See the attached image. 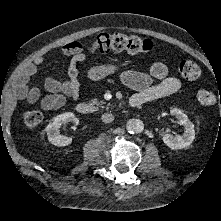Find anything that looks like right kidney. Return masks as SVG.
<instances>
[{
  "instance_id": "right-kidney-1",
  "label": "right kidney",
  "mask_w": 221,
  "mask_h": 221,
  "mask_svg": "<svg viewBox=\"0 0 221 221\" xmlns=\"http://www.w3.org/2000/svg\"><path fill=\"white\" fill-rule=\"evenodd\" d=\"M78 118L71 112L57 115L45 128L49 142L55 146H67L71 144L72 138L60 134V127L67 122L78 123Z\"/></svg>"
}]
</instances>
